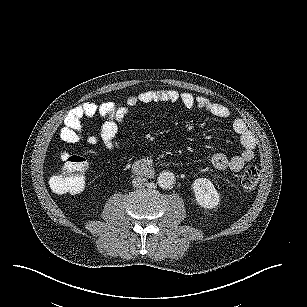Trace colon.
<instances>
[{
    "instance_id": "1",
    "label": "colon",
    "mask_w": 307,
    "mask_h": 307,
    "mask_svg": "<svg viewBox=\"0 0 307 307\" xmlns=\"http://www.w3.org/2000/svg\"><path fill=\"white\" fill-rule=\"evenodd\" d=\"M88 142L94 144L96 137L88 136ZM63 166L50 179V187L57 194H77L81 192L86 183L87 163L78 155L64 152L62 154ZM260 171L257 166L250 165L245 168L241 177V186L245 190L254 188L259 180Z\"/></svg>"
}]
</instances>
